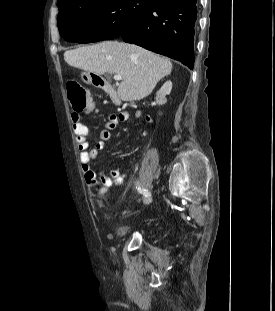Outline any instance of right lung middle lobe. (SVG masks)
Wrapping results in <instances>:
<instances>
[{
	"mask_svg": "<svg viewBox=\"0 0 275 311\" xmlns=\"http://www.w3.org/2000/svg\"><path fill=\"white\" fill-rule=\"evenodd\" d=\"M158 0H71L58 5L60 35L71 42L90 43L117 38L140 13Z\"/></svg>",
	"mask_w": 275,
	"mask_h": 311,
	"instance_id": "dd1d6c3e",
	"label": "right lung middle lobe"
}]
</instances>
